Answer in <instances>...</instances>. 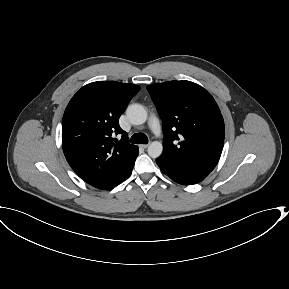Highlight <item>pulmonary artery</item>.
Wrapping results in <instances>:
<instances>
[{
    "mask_svg": "<svg viewBox=\"0 0 289 289\" xmlns=\"http://www.w3.org/2000/svg\"><path fill=\"white\" fill-rule=\"evenodd\" d=\"M149 128L156 136L161 135V132H162L161 131V125H160V121H159L157 116L151 115V117L149 119Z\"/></svg>",
    "mask_w": 289,
    "mask_h": 289,
    "instance_id": "e3ab8cb5",
    "label": "pulmonary artery"
}]
</instances>
